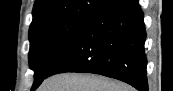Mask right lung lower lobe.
Here are the masks:
<instances>
[{"mask_svg": "<svg viewBox=\"0 0 173 91\" xmlns=\"http://www.w3.org/2000/svg\"><path fill=\"white\" fill-rule=\"evenodd\" d=\"M143 18L138 0H114L102 7L53 62L46 77L61 72L95 73L148 91Z\"/></svg>", "mask_w": 173, "mask_h": 91, "instance_id": "1", "label": "right lung lower lobe"}]
</instances>
